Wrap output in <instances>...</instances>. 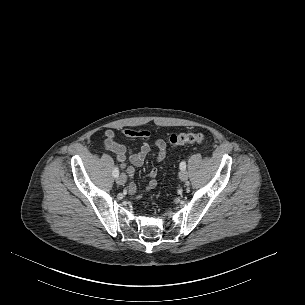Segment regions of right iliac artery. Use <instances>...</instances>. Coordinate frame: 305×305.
Listing matches in <instances>:
<instances>
[{
	"mask_svg": "<svg viewBox=\"0 0 305 305\" xmlns=\"http://www.w3.org/2000/svg\"><path fill=\"white\" fill-rule=\"evenodd\" d=\"M113 176L115 177V178H117L118 176H119V170H118V167H115L114 168V170H113Z\"/></svg>",
	"mask_w": 305,
	"mask_h": 305,
	"instance_id": "right-iliac-artery-1",
	"label": "right iliac artery"
}]
</instances>
